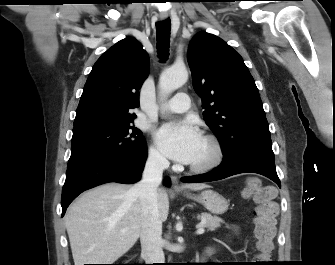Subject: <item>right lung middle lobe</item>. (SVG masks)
Returning <instances> with one entry per match:
<instances>
[{"label":"right lung middle lobe","mask_w":335,"mask_h":265,"mask_svg":"<svg viewBox=\"0 0 335 265\" xmlns=\"http://www.w3.org/2000/svg\"><path fill=\"white\" fill-rule=\"evenodd\" d=\"M133 120L96 123L73 128L69 163L88 157H131L146 149L142 132Z\"/></svg>","instance_id":"obj_1"}]
</instances>
